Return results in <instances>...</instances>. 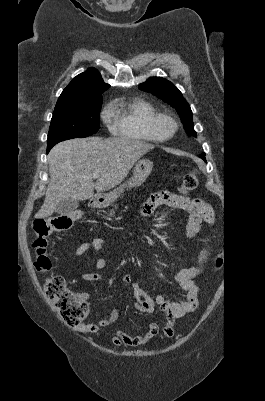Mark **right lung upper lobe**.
<instances>
[{"label":"right lung upper lobe","mask_w":265,"mask_h":401,"mask_svg":"<svg viewBox=\"0 0 265 401\" xmlns=\"http://www.w3.org/2000/svg\"><path fill=\"white\" fill-rule=\"evenodd\" d=\"M110 86L104 83L100 73L90 68L77 75L61 93L56 106L70 102L102 97Z\"/></svg>","instance_id":"obj_1"}]
</instances>
